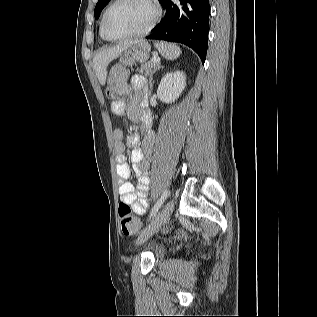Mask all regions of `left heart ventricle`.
<instances>
[{"label":"left heart ventricle","instance_id":"obj_1","mask_svg":"<svg viewBox=\"0 0 317 317\" xmlns=\"http://www.w3.org/2000/svg\"><path fill=\"white\" fill-rule=\"evenodd\" d=\"M151 16L152 11L143 0H123L107 19L108 33L119 37L138 32L147 26Z\"/></svg>","mask_w":317,"mask_h":317}]
</instances>
